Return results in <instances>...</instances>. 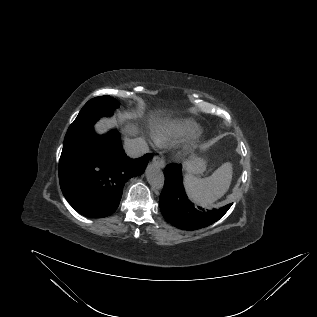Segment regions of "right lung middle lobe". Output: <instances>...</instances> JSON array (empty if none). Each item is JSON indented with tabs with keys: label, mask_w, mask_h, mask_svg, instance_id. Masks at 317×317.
<instances>
[{
	"label": "right lung middle lobe",
	"mask_w": 317,
	"mask_h": 317,
	"mask_svg": "<svg viewBox=\"0 0 317 317\" xmlns=\"http://www.w3.org/2000/svg\"><path fill=\"white\" fill-rule=\"evenodd\" d=\"M116 108H119L118 101L108 95L88 101L70 125L64 139L63 148L69 146L85 132L92 129L94 123L100 117L112 115Z\"/></svg>",
	"instance_id": "1"
}]
</instances>
